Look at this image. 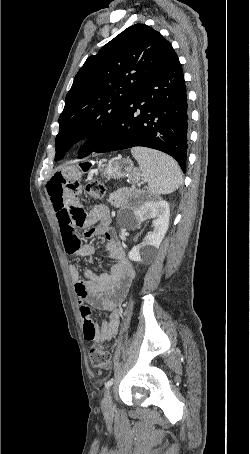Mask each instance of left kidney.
<instances>
[{
	"mask_svg": "<svg viewBox=\"0 0 250 454\" xmlns=\"http://www.w3.org/2000/svg\"><path fill=\"white\" fill-rule=\"evenodd\" d=\"M137 225L153 219V231L139 245L133 247L128 253L132 261H142L143 258L152 257L159 248L169 225L170 208L164 200L146 201L134 210Z\"/></svg>",
	"mask_w": 250,
	"mask_h": 454,
	"instance_id": "1",
	"label": "left kidney"
}]
</instances>
